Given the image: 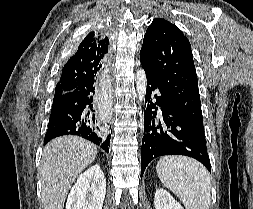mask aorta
I'll use <instances>...</instances> for the list:
<instances>
[{
	"label": "aorta",
	"mask_w": 253,
	"mask_h": 209,
	"mask_svg": "<svg viewBox=\"0 0 253 209\" xmlns=\"http://www.w3.org/2000/svg\"><path fill=\"white\" fill-rule=\"evenodd\" d=\"M146 87H147V79L145 71L140 68L136 72V89L138 94V100L142 103L145 99L146 95Z\"/></svg>",
	"instance_id": "obj_1"
}]
</instances>
